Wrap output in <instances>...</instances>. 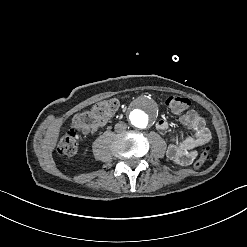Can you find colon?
Returning a JSON list of instances; mask_svg holds the SVG:
<instances>
[{"label": "colon", "instance_id": "5ec220e1", "mask_svg": "<svg viewBox=\"0 0 247 247\" xmlns=\"http://www.w3.org/2000/svg\"><path fill=\"white\" fill-rule=\"evenodd\" d=\"M119 99L117 96H105L104 100H99L98 107H91L89 113L96 116L97 122H108L109 116H114L115 109ZM189 100L186 97H170L166 100L165 105L175 114H180L189 107ZM91 116H77L75 122L78 124L89 125L94 122ZM78 132L74 129L67 131L59 141L58 152L63 155L71 156L76 153L78 148ZM210 145L207 144L195 160L193 167L201 169L209 159Z\"/></svg>", "mask_w": 247, "mask_h": 247}]
</instances>
